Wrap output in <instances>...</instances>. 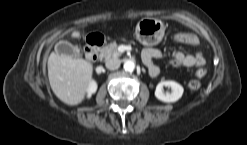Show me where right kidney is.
I'll use <instances>...</instances> for the list:
<instances>
[{
	"label": "right kidney",
	"mask_w": 247,
	"mask_h": 145,
	"mask_svg": "<svg viewBox=\"0 0 247 145\" xmlns=\"http://www.w3.org/2000/svg\"><path fill=\"white\" fill-rule=\"evenodd\" d=\"M97 90V83L95 81H90L88 88H87V93L88 97H91L93 93H95Z\"/></svg>",
	"instance_id": "1"
}]
</instances>
